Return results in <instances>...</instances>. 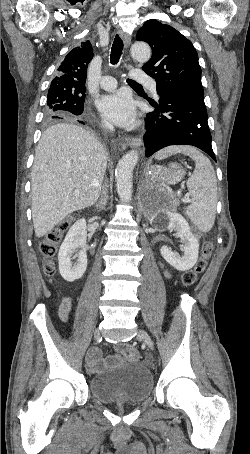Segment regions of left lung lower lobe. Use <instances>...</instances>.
<instances>
[{
	"mask_svg": "<svg viewBox=\"0 0 250 454\" xmlns=\"http://www.w3.org/2000/svg\"><path fill=\"white\" fill-rule=\"evenodd\" d=\"M157 111L147 115L145 156L170 145H192L216 161L211 146L204 95H159Z\"/></svg>",
	"mask_w": 250,
	"mask_h": 454,
	"instance_id": "1",
	"label": "left lung lower lobe"
}]
</instances>
